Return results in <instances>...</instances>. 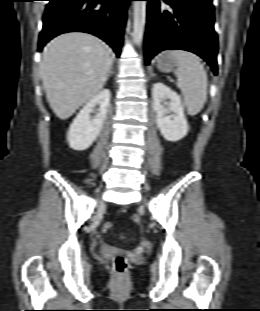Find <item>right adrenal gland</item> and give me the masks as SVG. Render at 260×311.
Instances as JSON below:
<instances>
[{"instance_id":"2a0ac1e0","label":"right adrenal gland","mask_w":260,"mask_h":311,"mask_svg":"<svg viewBox=\"0 0 260 311\" xmlns=\"http://www.w3.org/2000/svg\"><path fill=\"white\" fill-rule=\"evenodd\" d=\"M112 73H113V62H112V65H111V67H110V70H109V72H108V74H107L106 82H107V80L109 79V77L112 75ZM106 82H105V83H106Z\"/></svg>"}]
</instances>
